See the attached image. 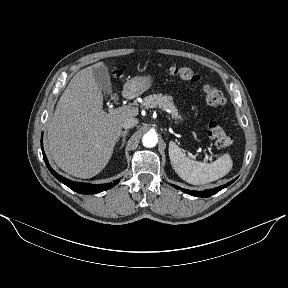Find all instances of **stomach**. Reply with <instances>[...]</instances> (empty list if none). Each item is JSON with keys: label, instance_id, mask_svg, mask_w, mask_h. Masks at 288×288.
I'll return each instance as SVG.
<instances>
[{"label": "stomach", "instance_id": "0dacf381", "mask_svg": "<svg viewBox=\"0 0 288 288\" xmlns=\"http://www.w3.org/2000/svg\"><path fill=\"white\" fill-rule=\"evenodd\" d=\"M153 80L154 77L152 75L136 76L126 82L124 85V91L130 97L139 96L151 87ZM177 118L180 121L184 120L182 115H178Z\"/></svg>", "mask_w": 288, "mask_h": 288}]
</instances>
